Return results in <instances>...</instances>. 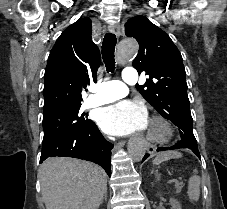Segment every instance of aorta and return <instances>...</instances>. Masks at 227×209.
Segmentation results:
<instances>
[{
  "label": "aorta",
  "mask_w": 227,
  "mask_h": 209,
  "mask_svg": "<svg viewBox=\"0 0 227 209\" xmlns=\"http://www.w3.org/2000/svg\"><path fill=\"white\" fill-rule=\"evenodd\" d=\"M138 43L135 39H125L120 42L118 47L117 61L120 64L127 63L138 52ZM128 152L130 157L139 162L145 154V146L141 141L133 142L129 145Z\"/></svg>",
  "instance_id": "1"
}]
</instances>
